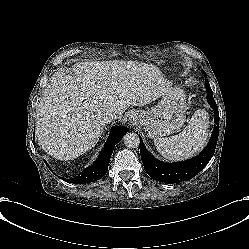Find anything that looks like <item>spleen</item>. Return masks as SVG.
<instances>
[{
  "instance_id": "1",
  "label": "spleen",
  "mask_w": 249,
  "mask_h": 249,
  "mask_svg": "<svg viewBox=\"0 0 249 249\" xmlns=\"http://www.w3.org/2000/svg\"><path fill=\"white\" fill-rule=\"evenodd\" d=\"M208 128L206 111L199 109L192 115L181 133L171 137L155 138L154 144L165 159L170 161L188 159L205 146Z\"/></svg>"
}]
</instances>
